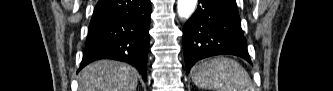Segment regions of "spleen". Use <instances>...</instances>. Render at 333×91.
Returning <instances> with one entry per match:
<instances>
[{
  "instance_id": "1",
  "label": "spleen",
  "mask_w": 333,
  "mask_h": 91,
  "mask_svg": "<svg viewBox=\"0 0 333 91\" xmlns=\"http://www.w3.org/2000/svg\"><path fill=\"white\" fill-rule=\"evenodd\" d=\"M192 81L202 89L213 91H254L247 71L237 61L218 57L195 65Z\"/></svg>"
}]
</instances>
